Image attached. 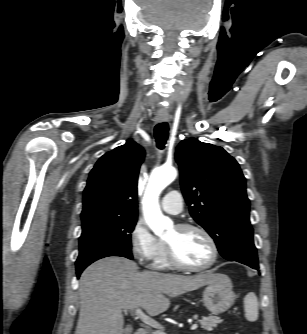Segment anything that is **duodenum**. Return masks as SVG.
I'll use <instances>...</instances> for the list:
<instances>
[{"label":"duodenum","mask_w":307,"mask_h":334,"mask_svg":"<svg viewBox=\"0 0 307 334\" xmlns=\"http://www.w3.org/2000/svg\"><path fill=\"white\" fill-rule=\"evenodd\" d=\"M134 334H147V332L144 328H137Z\"/></svg>","instance_id":"duodenum-1"}]
</instances>
